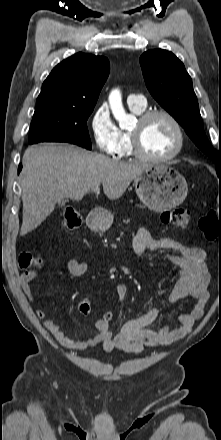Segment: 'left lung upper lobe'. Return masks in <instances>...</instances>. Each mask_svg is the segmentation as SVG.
<instances>
[{"label":"left lung upper lobe","mask_w":221,"mask_h":440,"mask_svg":"<svg viewBox=\"0 0 221 440\" xmlns=\"http://www.w3.org/2000/svg\"><path fill=\"white\" fill-rule=\"evenodd\" d=\"M140 65L151 95L178 121L193 142L216 161L215 150L204 132L191 77L183 63L167 50L154 49L142 54Z\"/></svg>","instance_id":"1"}]
</instances>
